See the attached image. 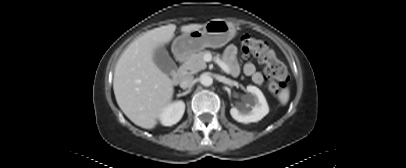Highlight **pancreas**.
<instances>
[{
	"label": "pancreas",
	"mask_w": 406,
	"mask_h": 168,
	"mask_svg": "<svg viewBox=\"0 0 406 168\" xmlns=\"http://www.w3.org/2000/svg\"><path fill=\"white\" fill-rule=\"evenodd\" d=\"M210 53L209 51H200L199 53L191 54L187 61L180 67L179 71L182 74L190 73L194 74L201 70H204L207 65L204 60V56Z\"/></svg>",
	"instance_id": "pancreas-1"
}]
</instances>
